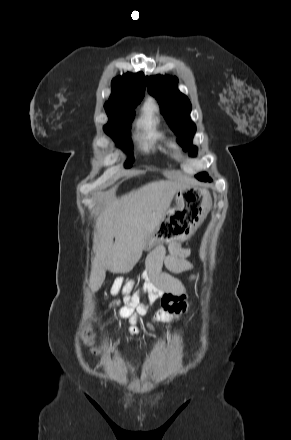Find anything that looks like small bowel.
<instances>
[{"label": "small bowel", "instance_id": "c3829d8e", "mask_svg": "<svg viewBox=\"0 0 291 440\" xmlns=\"http://www.w3.org/2000/svg\"><path fill=\"white\" fill-rule=\"evenodd\" d=\"M166 254L163 247H157L146 259V279L136 294H131L134 280L124 281L122 278L114 280L111 286V294L121 293L123 306L113 311L115 318H129V334L136 335L139 329L136 325L139 316L147 313L150 306L159 301L160 309L154 314V320L159 323H166L170 315L184 312L187 309L185 303H177L185 300L184 285L170 273L161 272L164 264L171 272L192 271L193 265L189 261L190 250L180 243H172ZM196 272H191V281L198 279ZM145 296V300L142 297ZM120 302L112 303L115 307ZM151 327V326H150ZM139 339L136 344H139Z\"/></svg>", "mask_w": 291, "mask_h": 440}]
</instances>
